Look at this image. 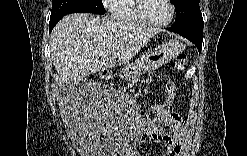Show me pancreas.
I'll return each instance as SVG.
<instances>
[{
	"label": "pancreas",
	"mask_w": 247,
	"mask_h": 156,
	"mask_svg": "<svg viewBox=\"0 0 247 156\" xmlns=\"http://www.w3.org/2000/svg\"><path fill=\"white\" fill-rule=\"evenodd\" d=\"M144 72L145 70L138 66L133 72V75L131 77L132 81H136L137 77H139Z\"/></svg>",
	"instance_id": "cf45deb5"
}]
</instances>
